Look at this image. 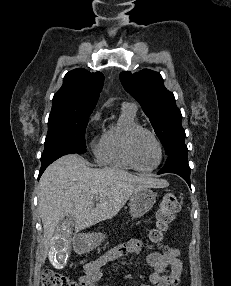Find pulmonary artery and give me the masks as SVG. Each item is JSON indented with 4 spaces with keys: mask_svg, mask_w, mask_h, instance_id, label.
<instances>
[{
    "mask_svg": "<svg viewBox=\"0 0 231 286\" xmlns=\"http://www.w3.org/2000/svg\"><path fill=\"white\" fill-rule=\"evenodd\" d=\"M123 107H127V108L135 110L136 109V104L135 103H124Z\"/></svg>",
    "mask_w": 231,
    "mask_h": 286,
    "instance_id": "1",
    "label": "pulmonary artery"
}]
</instances>
